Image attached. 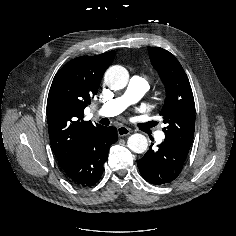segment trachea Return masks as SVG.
<instances>
[{"mask_svg":"<svg viewBox=\"0 0 236 236\" xmlns=\"http://www.w3.org/2000/svg\"><path fill=\"white\" fill-rule=\"evenodd\" d=\"M101 123H102L103 125H109V121H108L107 118L102 119V120H101Z\"/></svg>","mask_w":236,"mask_h":236,"instance_id":"obj_1","label":"trachea"}]
</instances>
